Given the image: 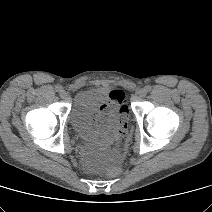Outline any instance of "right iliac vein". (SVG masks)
I'll return each mask as SVG.
<instances>
[{
    "mask_svg": "<svg viewBox=\"0 0 212 212\" xmlns=\"http://www.w3.org/2000/svg\"><path fill=\"white\" fill-rule=\"evenodd\" d=\"M59 95L61 98H65L67 96V93L66 91L62 88L60 91H59Z\"/></svg>",
    "mask_w": 212,
    "mask_h": 212,
    "instance_id": "1",
    "label": "right iliac vein"
}]
</instances>
